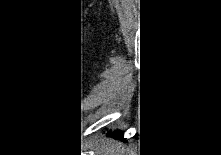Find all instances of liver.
<instances>
[{
  "label": "liver",
  "mask_w": 221,
  "mask_h": 155,
  "mask_svg": "<svg viewBox=\"0 0 221 155\" xmlns=\"http://www.w3.org/2000/svg\"><path fill=\"white\" fill-rule=\"evenodd\" d=\"M92 155H127V151L122 144L117 141L101 140L92 147Z\"/></svg>",
  "instance_id": "liver-1"
}]
</instances>
